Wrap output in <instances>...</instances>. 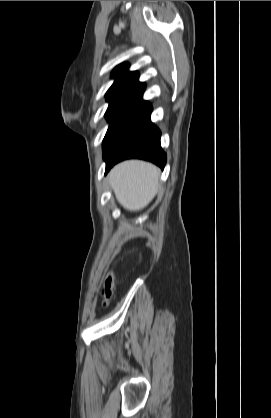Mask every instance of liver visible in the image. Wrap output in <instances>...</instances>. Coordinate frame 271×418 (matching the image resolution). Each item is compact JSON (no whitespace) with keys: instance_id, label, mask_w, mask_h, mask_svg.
<instances>
[{"instance_id":"liver-1","label":"liver","mask_w":271,"mask_h":418,"mask_svg":"<svg viewBox=\"0 0 271 418\" xmlns=\"http://www.w3.org/2000/svg\"><path fill=\"white\" fill-rule=\"evenodd\" d=\"M160 170L155 165L128 160L116 165L108 174V180L118 202L129 211L146 207L159 187Z\"/></svg>"}]
</instances>
